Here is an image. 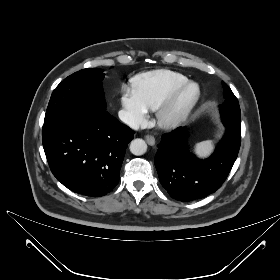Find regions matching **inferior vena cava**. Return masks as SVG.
Listing matches in <instances>:
<instances>
[{"instance_id":"inferior-vena-cava-1","label":"inferior vena cava","mask_w":280,"mask_h":280,"mask_svg":"<svg viewBox=\"0 0 280 280\" xmlns=\"http://www.w3.org/2000/svg\"><path fill=\"white\" fill-rule=\"evenodd\" d=\"M118 116L122 122H124L126 125H128L132 129H134V130L139 129V122L131 113H129L125 110H120L118 113Z\"/></svg>"}]
</instances>
